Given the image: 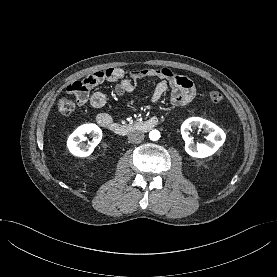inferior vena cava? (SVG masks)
Masks as SVG:
<instances>
[{
    "label": "inferior vena cava",
    "instance_id": "obj_1",
    "mask_svg": "<svg viewBox=\"0 0 277 277\" xmlns=\"http://www.w3.org/2000/svg\"><path fill=\"white\" fill-rule=\"evenodd\" d=\"M144 139V134L140 133V132H131L130 134H128V141L130 143H140L142 140Z\"/></svg>",
    "mask_w": 277,
    "mask_h": 277
}]
</instances>
